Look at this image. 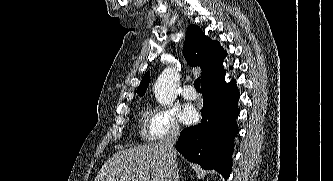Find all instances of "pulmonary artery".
Masks as SVG:
<instances>
[{"label": "pulmonary artery", "mask_w": 333, "mask_h": 181, "mask_svg": "<svg viewBox=\"0 0 333 181\" xmlns=\"http://www.w3.org/2000/svg\"><path fill=\"white\" fill-rule=\"evenodd\" d=\"M182 96L187 100H194L197 98V93L192 85H186L182 89Z\"/></svg>", "instance_id": "pulmonary-artery-1"}]
</instances>
